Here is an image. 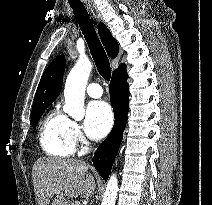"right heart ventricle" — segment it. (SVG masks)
Wrapping results in <instances>:
<instances>
[{
  "mask_svg": "<svg viewBox=\"0 0 212 205\" xmlns=\"http://www.w3.org/2000/svg\"><path fill=\"white\" fill-rule=\"evenodd\" d=\"M70 125L71 121L58 110H52L45 116L39 140L48 156L67 158L74 154L75 143L71 136Z\"/></svg>",
  "mask_w": 212,
  "mask_h": 205,
  "instance_id": "e07e8e85",
  "label": "right heart ventricle"
}]
</instances>
